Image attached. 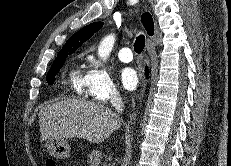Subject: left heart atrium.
Listing matches in <instances>:
<instances>
[{"label":"left heart atrium","mask_w":231,"mask_h":166,"mask_svg":"<svg viewBox=\"0 0 231 166\" xmlns=\"http://www.w3.org/2000/svg\"><path fill=\"white\" fill-rule=\"evenodd\" d=\"M120 80H121L122 86L126 90L134 89L138 83V77H137L135 70L129 67L121 70Z\"/></svg>","instance_id":"39dd6f15"}]
</instances>
